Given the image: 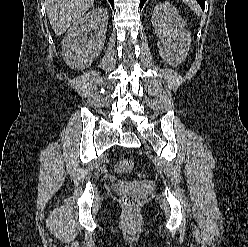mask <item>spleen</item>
<instances>
[{
  "instance_id": "spleen-1",
  "label": "spleen",
  "mask_w": 248,
  "mask_h": 247,
  "mask_svg": "<svg viewBox=\"0 0 248 247\" xmlns=\"http://www.w3.org/2000/svg\"><path fill=\"white\" fill-rule=\"evenodd\" d=\"M185 3L189 5V7L197 14H199V5L195 2V0H183Z\"/></svg>"
}]
</instances>
